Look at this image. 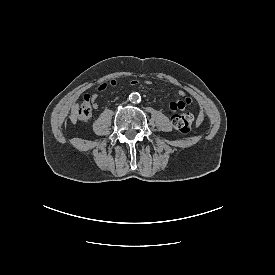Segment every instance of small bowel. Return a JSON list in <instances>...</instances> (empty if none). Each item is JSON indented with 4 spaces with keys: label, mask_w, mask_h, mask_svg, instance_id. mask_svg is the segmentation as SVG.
Listing matches in <instances>:
<instances>
[{
    "label": "small bowel",
    "mask_w": 275,
    "mask_h": 275,
    "mask_svg": "<svg viewBox=\"0 0 275 275\" xmlns=\"http://www.w3.org/2000/svg\"><path fill=\"white\" fill-rule=\"evenodd\" d=\"M138 82H134V84H137ZM105 86V87H104ZM106 84L103 83L100 85L99 87V90L100 91H103L104 89H106ZM179 94L181 96H184L185 95V92L184 91H180ZM91 104H92V107L94 109L98 108V102H97V99H98V93H94L91 97ZM192 103V99L190 97H185L184 99L182 100H178V101H173L169 104V108L171 110H184L187 106H189L190 104ZM203 119H204V116L201 112H199L197 114V120H196V123L197 125H200L202 122H203Z\"/></svg>",
    "instance_id": "obj_1"
}]
</instances>
